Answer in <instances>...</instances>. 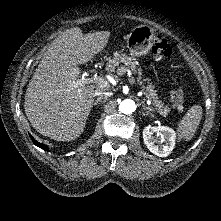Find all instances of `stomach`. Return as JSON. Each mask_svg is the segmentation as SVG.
I'll use <instances>...</instances> for the list:
<instances>
[{"instance_id":"0dacf381","label":"stomach","mask_w":221,"mask_h":221,"mask_svg":"<svg viewBox=\"0 0 221 221\" xmlns=\"http://www.w3.org/2000/svg\"><path fill=\"white\" fill-rule=\"evenodd\" d=\"M154 37V30L151 27L147 25L135 27L127 36L130 55L136 58L146 55L153 45Z\"/></svg>"}]
</instances>
